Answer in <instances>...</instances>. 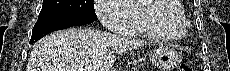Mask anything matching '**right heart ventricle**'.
Returning <instances> with one entry per match:
<instances>
[{
    "label": "right heart ventricle",
    "mask_w": 230,
    "mask_h": 71,
    "mask_svg": "<svg viewBox=\"0 0 230 71\" xmlns=\"http://www.w3.org/2000/svg\"><path fill=\"white\" fill-rule=\"evenodd\" d=\"M132 18V24L126 27L123 34L129 36H147L152 38H159V39H179L176 38L175 35H179L175 33L174 30L168 29L162 30L156 27L151 20V12L148 8V4H143L142 1H134L128 2L124 7ZM167 9L174 15V16H184V11L182 6L179 2L169 4Z\"/></svg>",
    "instance_id": "e07e8e85"
}]
</instances>
